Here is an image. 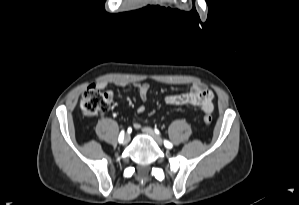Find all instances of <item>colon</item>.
<instances>
[{"label":"colon","mask_w":299,"mask_h":205,"mask_svg":"<svg viewBox=\"0 0 299 205\" xmlns=\"http://www.w3.org/2000/svg\"><path fill=\"white\" fill-rule=\"evenodd\" d=\"M112 98V90H101L92 85L85 90L81 97V111L86 117H95L109 108ZM203 120L206 124H211L212 116L206 114Z\"/></svg>","instance_id":"obj_1"}]
</instances>
